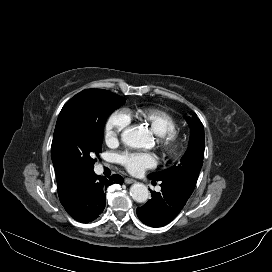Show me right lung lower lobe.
I'll use <instances>...</instances> for the list:
<instances>
[{
  "instance_id": "1",
  "label": "right lung lower lobe",
  "mask_w": 272,
  "mask_h": 272,
  "mask_svg": "<svg viewBox=\"0 0 272 272\" xmlns=\"http://www.w3.org/2000/svg\"><path fill=\"white\" fill-rule=\"evenodd\" d=\"M113 183H123L120 175L109 178L97 176L94 171L85 177L70 200L63 206L75 220L88 223L99 217L105 208V190Z\"/></svg>"
}]
</instances>
